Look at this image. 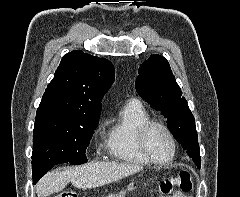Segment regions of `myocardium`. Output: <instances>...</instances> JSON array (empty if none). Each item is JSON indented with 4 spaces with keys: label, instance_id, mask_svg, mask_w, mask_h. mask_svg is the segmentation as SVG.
Masks as SVG:
<instances>
[{
    "label": "myocardium",
    "instance_id": "f54148a6",
    "mask_svg": "<svg viewBox=\"0 0 240 197\" xmlns=\"http://www.w3.org/2000/svg\"><path fill=\"white\" fill-rule=\"evenodd\" d=\"M153 127H160L162 128L166 134L168 135L171 144H172V154L171 156L163 161L160 160H156L149 152L148 150V146H147V136L149 131L153 128ZM137 145L138 148L141 152V154L143 155V157L151 164L154 165H158V166H165L170 164L171 162H173V160L176 157L177 154V141L175 139V136L173 134V132L171 131V129L163 122L160 121H156V120H149L147 122H145L143 125H141L137 131Z\"/></svg>",
    "mask_w": 240,
    "mask_h": 197
}]
</instances>
